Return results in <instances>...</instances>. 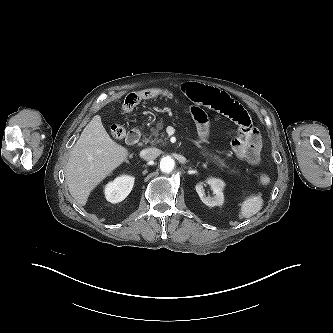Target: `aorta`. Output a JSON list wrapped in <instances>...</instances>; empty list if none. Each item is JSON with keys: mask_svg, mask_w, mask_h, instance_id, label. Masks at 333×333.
<instances>
[{"mask_svg": "<svg viewBox=\"0 0 333 333\" xmlns=\"http://www.w3.org/2000/svg\"><path fill=\"white\" fill-rule=\"evenodd\" d=\"M175 167V161L170 156H165L160 160V170L164 173H170Z\"/></svg>", "mask_w": 333, "mask_h": 333, "instance_id": "762f6f07", "label": "aorta"}]
</instances>
